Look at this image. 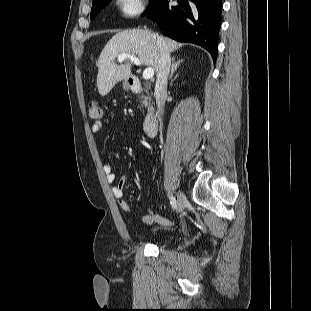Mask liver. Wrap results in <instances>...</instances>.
Instances as JSON below:
<instances>
[{"label": "liver", "mask_w": 311, "mask_h": 311, "mask_svg": "<svg viewBox=\"0 0 311 311\" xmlns=\"http://www.w3.org/2000/svg\"><path fill=\"white\" fill-rule=\"evenodd\" d=\"M160 37L166 43L169 52L178 50L181 44L167 37L159 36L144 29H130L114 35L102 50L97 67V87L101 96H106L121 80L128 79L131 74V62L121 65L115 63L121 53L136 56L144 65L158 70L160 53L156 43Z\"/></svg>", "instance_id": "6515ba94"}]
</instances>
